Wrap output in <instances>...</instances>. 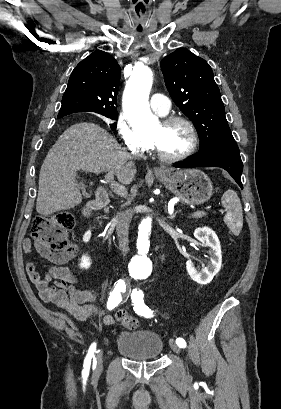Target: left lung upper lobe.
Segmentation results:
<instances>
[{"mask_svg": "<svg viewBox=\"0 0 281 409\" xmlns=\"http://www.w3.org/2000/svg\"><path fill=\"white\" fill-rule=\"evenodd\" d=\"M161 69L175 104L195 125L200 151L239 152L208 63L180 48L162 59Z\"/></svg>", "mask_w": 281, "mask_h": 409, "instance_id": "5c2ea615", "label": "left lung upper lobe"}]
</instances>
